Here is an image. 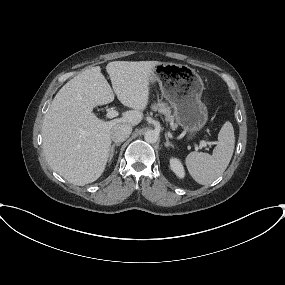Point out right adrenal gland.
Instances as JSON below:
<instances>
[{"mask_svg": "<svg viewBox=\"0 0 285 285\" xmlns=\"http://www.w3.org/2000/svg\"><path fill=\"white\" fill-rule=\"evenodd\" d=\"M121 143H114L111 147H110V151H109V162H111L113 156H114V152H115V147L116 146H120Z\"/></svg>", "mask_w": 285, "mask_h": 285, "instance_id": "1", "label": "right adrenal gland"}]
</instances>
